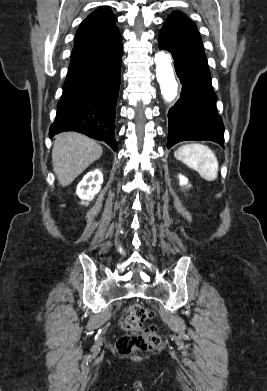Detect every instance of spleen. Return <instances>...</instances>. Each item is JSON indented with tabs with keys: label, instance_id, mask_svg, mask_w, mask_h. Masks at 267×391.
Masks as SVG:
<instances>
[{
	"label": "spleen",
	"instance_id": "1",
	"mask_svg": "<svg viewBox=\"0 0 267 391\" xmlns=\"http://www.w3.org/2000/svg\"><path fill=\"white\" fill-rule=\"evenodd\" d=\"M178 160L197 171L207 181L218 177V160L214 152L202 144H187L175 151Z\"/></svg>",
	"mask_w": 267,
	"mask_h": 391
}]
</instances>
